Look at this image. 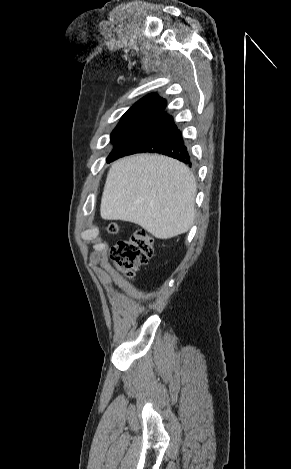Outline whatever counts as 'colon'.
<instances>
[{"label":"colon","instance_id":"obj_1","mask_svg":"<svg viewBox=\"0 0 291 469\" xmlns=\"http://www.w3.org/2000/svg\"><path fill=\"white\" fill-rule=\"evenodd\" d=\"M107 231H119L116 223H110ZM153 255V240L143 229L135 231L128 239L118 241L110 251L111 261L128 277L133 278L135 271L148 263Z\"/></svg>","mask_w":291,"mask_h":469}]
</instances>
